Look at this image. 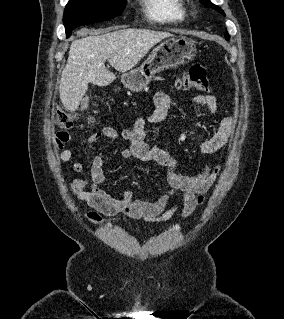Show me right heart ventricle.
Listing matches in <instances>:
<instances>
[{"label": "right heart ventricle", "mask_w": 284, "mask_h": 319, "mask_svg": "<svg viewBox=\"0 0 284 319\" xmlns=\"http://www.w3.org/2000/svg\"><path fill=\"white\" fill-rule=\"evenodd\" d=\"M145 17L155 23L182 22L187 18L184 0H139Z\"/></svg>", "instance_id": "1"}]
</instances>
